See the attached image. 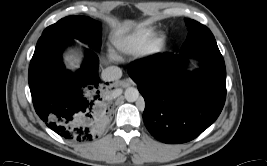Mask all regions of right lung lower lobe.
Here are the masks:
<instances>
[{
  "label": "right lung lower lobe",
  "instance_id": "98d812e1",
  "mask_svg": "<svg viewBox=\"0 0 267 166\" xmlns=\"http://www.w3.org/2000/svg\"><path fill=\"white\" fill-rule=\"evenodd\" d=\"M73 37L45 33L29 66V87L38 116L47 127L74 142L90 141L109 122L107 88L100 84L98 57L88 49L80 70H65L62 51ZM108 83H106L107 85Z\"/></svg>",
  "mask_w": 267,
  "mask_h": 166
}]
</instances>
